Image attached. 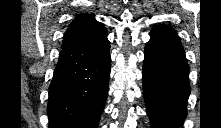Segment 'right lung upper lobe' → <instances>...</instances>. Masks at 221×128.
Returning a JSON list of instances; mask_svg holds the SVG:
<instances>
[{"label":"right lung upper lobe","instance_id":"obj_1","mask_svg":"<svg viewBox=\"0 0 221 128\" xmlns=\"http://www.w3.org/2000/svg\"><path fill=\"white\" fill-rule=\"evenodd\" d=\"M107 34V29L92 15L78 16L64 34L62 48L98 42Z\"/></svg>","mask_w":221,"mask_h":128}]
</instances>
